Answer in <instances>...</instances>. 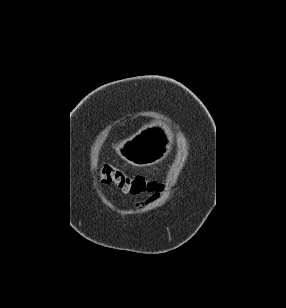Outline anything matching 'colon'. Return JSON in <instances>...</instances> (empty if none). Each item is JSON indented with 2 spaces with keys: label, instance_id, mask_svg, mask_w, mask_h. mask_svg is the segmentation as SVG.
Returning a JSON list of instances; mask_svg holds the SVG:
<instances>
[{
  "label": "colon",
  "instance_id": "colon-1",
  "mask_svg": "<svg viewBox=\"0 0 286 308\" xmlns=\"http://www.w3.org/2000/svg\"><path fill=\"white\" fill-rule=\"evenodd\" d=\"M100 181L107 185H113L125 194L139 196L155 193L161 189V184L146 180L143 177H131L124 171L113 165H103L99 172Z\"/></svg>",
  "mask_w": 286,
  "mask_h": 308
}]
</instances>
